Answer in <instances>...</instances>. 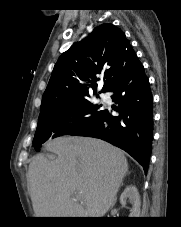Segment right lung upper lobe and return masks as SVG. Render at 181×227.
Masks as SVG:
<instances>
[{"mask_svg":"<svg viewBox=\"0 0 181 227\" xmlns=\"http://www.w3.org/2000/svg\"><path fill=\"white\" fill-rule=\"evenodd\" d=\"M136 56L125 34L113 24H102L58 59L42 96L40 110L96 93L97 75L104 74L102 92L122 74ZM91 83V84H89Z\"/></svg>","mask_w":181,"mask_h":227,"instance_id":"cb5924a9","label":"right lung upper lobe"}]
</instances>
